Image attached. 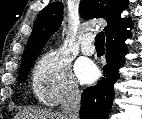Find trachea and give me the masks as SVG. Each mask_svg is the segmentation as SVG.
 I'll use <instances>...</instances> for the list:
<instances>
[{"label":"trachea","instance_id":"1","mask_svg":"<svg viewBox=\"0 0 142 119\" xmlns=\"http://www.w3.org/2000/svg\"><path fill=\"white\" fill-rule=\"evenodd\" d=\"M105 37L103 32H99L95 38V47L104 48Z\"/></svg>","mask_w":142,"mask_h":119}]
</instances>
